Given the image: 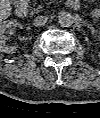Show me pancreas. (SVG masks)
I'll use <instances>...</instances> for the list:
<instances>
[{
	"label": "pancreas",
	"instance_id": "cf45deb5",
	"mask_svg": "<svg viewBox=\"0 0 100 118\" xmlns=\"http://www.w3.org/2000/svg\"><path fill=\"white\" fill-rule=\"evenodd\" d=\"M41 8H42V6H39V7H38V9H41Z\"/></svg>",
	"mask_w": 100,
	"mask_h": 118
}]
</instances>
